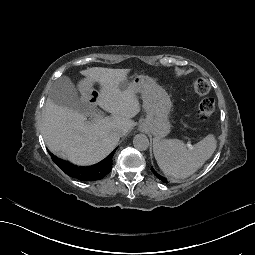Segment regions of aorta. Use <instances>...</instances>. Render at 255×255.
I'll list each match as a JSON object with an SVG mask.
<instances>
[{"mask_svg":"<svg viewBox=\"0 0 255 255\" xmlns=\"http://www.w3.org/2000/svg\"><path fill=\"white\" fill-rule=\"evenodd\" d=\"M134 147L139 151H145L149 147V139L144 134H138L133 139Z\"/></svg>","mask_w":255,"mask_h":255,"instance_id":"1","label":"aorta"}]
</instances>
